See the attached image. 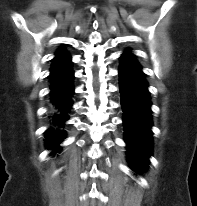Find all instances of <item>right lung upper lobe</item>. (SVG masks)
Wrapping results in <instances>:
<instances>
[{
    "mask_svg": "<svg viewBox=\"0 0 197 206\" xmlns=\"http://www.w3.org/2000/svg\"><path fill=\"white\" fill-rule=\"evenodd\" d=\"M70 60V55L66 52L65 48L60 47L55 53V58L52 60L53 63L49 77H52L65 68L69 64Z\"/></svg>",
    "mask_w": 197,
    "mask_h": 206,
    "instance_id": "1",
    "label": "right lung upper lobe"
}]
</instances>
